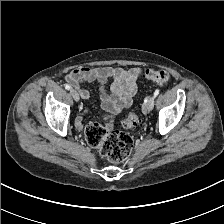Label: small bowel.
Returning a JSON list of instances; mask_svg holds the SVG:
<instances>
[{"label": "small bowel", "mask_w": 224, "mask_h": 224, "mask_svg": "<svg viewBox=\"0 0 224 224\" xmlns=\"http://www.w3.org/2000/svg\"><path fill=\"white\" fill-rule=\"evenodd\" d=\"M141 76L140 68L124 69L120 67H80L72 70L66 76L76 88L84 101L90 97L89 91L83 83L97 82L99 86L100 102L106 111L118 113L132 105L133 96L137 91V81ZM87 108L82 107L76 118V126L82 128Z\"/></svg>", "instance_id": "obj_1"}]
</instances>
